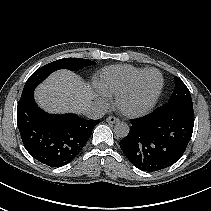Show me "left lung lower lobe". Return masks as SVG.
<instances>
[{"label": "left lung lower lobe", "instance_id": "obj_1", "mask_svg": "<svg viewBox=\"0 0 211 211\" xmlns=\"http://www.w3.org/2000/svg\"><path fill=\"white\" fill-rule=\"evenodd\" d=\"M120 147L138 169L153 172L167 168L183 155L193 132L194 119L184 112H159L131 121Z\"/></svg>", "mask_w": 211, "mask_h": 211}]
</instances>
